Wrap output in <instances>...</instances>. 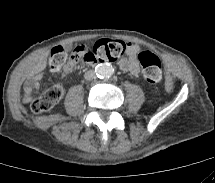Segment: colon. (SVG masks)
I'll return each instance as SVG.
<instances>
[{"label":"colon","mask_w":215,"mask_h":183,"mask_svg":"<svg viewBox=\"0 0 215 183\" xmlns=\"http://www.w3.org/2000/svg\"><path fill=\"white\" fill-rule=\"evenodd\" d=\"M126 50V44L122 41L100 39L91 48L77 46L71 53L70 59L79 63H107L116 61ZM139 60L143 67V76L150 84H157L162 78L160 59L151 51H143L139 54ZM67 60V51L64 46H56L51 50L49 66L52 70L60 69ZM63 87L54 84L45 92L31 101L30 107L34 113L50 111L61 99Z\"/></svg>","instance_id":"colon-1"}]
</instances>
